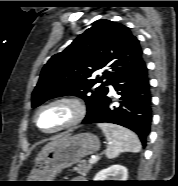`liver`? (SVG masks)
<instances>
[{
    "label": "liver",
    "mask_w": 178,
    "mask_h": 186,
    "mask_svg": "<svg viewBox=\"0 0 178 186\" xmlns=\"http://www.w3.org/2000/svg\"><path fill=\"white\" fill-rule=\"evenodd\" d=\"M63 138V135L56 137L53 141L48 143L43 147V149L39 152L37 157L35 158V163H38L55 145L59 143V141Z\"/></svg>",
    "instance_id": "1"
}]
</instances>
